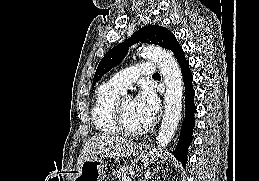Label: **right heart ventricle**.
<instances>
[{"mask_svg": "<svg viewBox=\"0 0 259 181\" xmlns=\"http://www.w3.org/2000/svg\"><path fill=\"white\" fill-rule=\"evenodd\" d=\"M124 91L110 81L102 83L96 89L91 115L95 127L100 132L106 134H120L122 132L117 123L115 107Z\"/></svg>", "mask_w": 259, "mask_h": 181, "instance_id": "e07e8e85", "label": "right heart ventricle"}]
</instances>
